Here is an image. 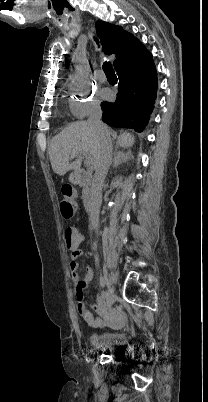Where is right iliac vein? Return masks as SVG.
<instances>
[{
  "label": "right iliac vein",
  "mask_w": 208,
  "mask_h": 402,
  "mask_svg": "<svg viewBox=\"0 0 208 402\" xmlns=\"http://www.w3.org/2000/svg\"><path fill=\"white\" fill-rule=\"evenodd\" d=\"M114 302V293L111 289H109V298L107 300V308L111 309Z\"/></svg>",
  "instance_id": "1"
}]
</instances>
